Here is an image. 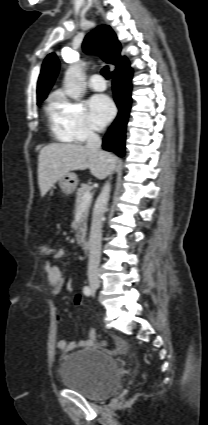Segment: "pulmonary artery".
I'll return each mask as SVG.
<instances>
[{"label":"pulmonary artery","mask_w":208,"mask_h":425,"mask_svg":"<svg viewBox=\"0 0 208 425\" xmlns=\"http://www.w3.org/2000/svg\"><path fill=\"white\" fill-rule=\"evenodd\" d=\"M89 86L95 91H104L106 89V82L102 75L93 74L89 79Z\"/></svg>","instance_id":"e3ab8cb5"}]
</instances>
